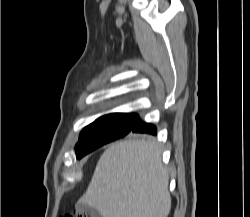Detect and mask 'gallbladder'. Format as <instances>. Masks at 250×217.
Segmentation results:
<instances>
[{
	"instance_id": "gallbladder-1",
	"label": "gallbladder",
	"mask_w": 250,
	"mask_h": 217,
	"mask_svg": "<svg viewBox=\"0 0 250 217\" xmlns=\"http://www.w3.org/2000/svg\"><path fill=\"white\" fill-rule=\"evenodd\" d=\"M76 208L80 213L89 214L90 217H101L100 213L96 209L85 204L78 203Z\"/></svg>"
}]
</instances>
